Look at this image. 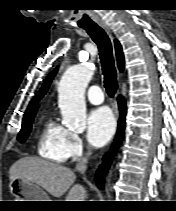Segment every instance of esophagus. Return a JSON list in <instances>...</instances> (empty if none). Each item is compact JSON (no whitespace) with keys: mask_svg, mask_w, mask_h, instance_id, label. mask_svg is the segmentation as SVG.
I'll return each mask as SVG.
<instances>
[{"mask_svg":"<svg viewBox=\"0 0 176 211\" xmlns=\"http://www.w3.org/2000/svg\"><path fill=\"white\" fill-rule=\"evenodd\" d=\"M99 26L108 34V36L113 42L114 38H113L110 28L104 22H99Z\"/></svg>","mask_w":176,"mask_h":211,"instance_id":"obj_1","label":"esophagus"}]
</instances>
